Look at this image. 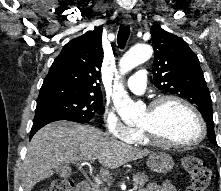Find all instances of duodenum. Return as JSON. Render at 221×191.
<instances>
[{"label":"duodenum","instance_id":"1","mask_svg":"<svg viewBox=\"0 0 221 191\" xmlns=\"http://www.w3.org/2000/svg\"><path fill=\"white\" fill-rule=\"evenodd\" d=\"M75 191H90V183L88 180H82L80 181L76 187Z\"/></svg>","mask_w":221,"mask_h":191}]
</instances>
